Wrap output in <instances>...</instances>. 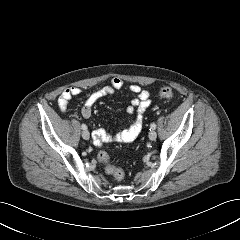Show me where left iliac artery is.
Instances as JSON below:
<instances>
[{"instance_id":"44dca946","label":"left iliac artery","mask_w":240,"mask_h":240,"mask_svg":"<svg viewBox=\"0 0 240 240\" xmlns=\"http://www.w3.org/2000/svg\"><path fill=\"white\" fill-rule=\"evenodd\" d=\"M156 129V124L155 123H152L151 125H150V131L151 130H155Z\"/></svg>"}]
</instances>
